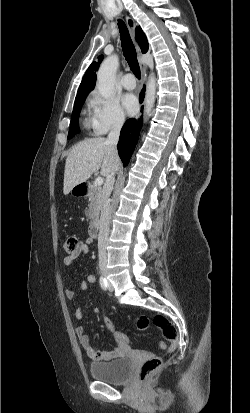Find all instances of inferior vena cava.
Instances as JSON below:
<instances>
[{"instance_id":"obj_1","label":"inferior vena cava","mask_w":250,"mask_h":413,"mask_svg":"<svg viewBox=\"0 0 250 413\" xmlns=\"http://www.w3.org/2000/svg\"><path fill=\"white\" fill-rule=\"evenodd\" d=\"M124 124V117L118 118L107 137V144L111 148L114 155H118L117 153V143L120 136L121 128ZM115 173L116 171H112L106 178L105 187L103 190L102 196V207H101V216L99 222V235H98V252H99V266L101 269H105L107 266V254H106V246L108 243L109 237V227H110V218H111V206H110V195L113 190V186L115 183Z\"/></svg>"}]
</instances>
